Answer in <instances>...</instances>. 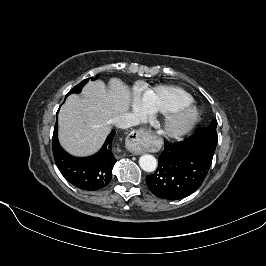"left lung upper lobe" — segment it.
<instances>
[{
	"label": "left lung upper lobe",
	"mask_w": 266,
	"mask_h": 266,
	"mask_svg": "<svg viewBox=\"0 0 266 266\" xmlns=\"http://www.w3.org/2000/svg\"><path fill=\"white\" fill-rule=\"evenodd\" d=\"M217 121L213 120L211 124L199 129L192 137V142L202 149L210 158H213L217 145Z\"/></svg>",
	"instance_id": "5c2ea615"
}]
</instances>
